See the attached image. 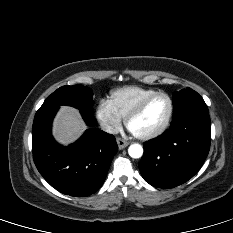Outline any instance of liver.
I'll use <instances>...</instances> for the list:
<instances>
[{
  "instance_id": "obj_1",
  "label": "liver",
  "mask_w": 233,
  "mask_h": 233,
  "mask_svg": "<svg viewBox=\"0 0 233 233\" xmlns=\"http://www.w3.org/2000/svg\"><path fill=\"white\" fill-rule=\"evenodd\" d=\"M86 129L77 109L61 106L54 119L52 132L58 143L68 145L76 141Z\"/></svg>"
}]
</instances>
